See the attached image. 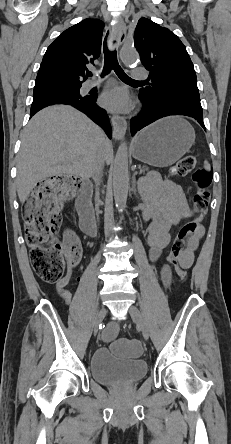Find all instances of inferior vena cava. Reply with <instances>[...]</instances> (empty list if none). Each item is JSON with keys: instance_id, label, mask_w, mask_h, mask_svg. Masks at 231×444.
I'll list each match as a JSON object with an SVG mask.
<instances>
[{"instance_id": "obj_1", "label": "inferior vena cava", "mask_w": 231, "mask_h": 444, "mask_svg": "<svg viewBox=\"0 0 231 444\" xmlns=\"http://www.w3.org/2000/svg\"><path fill=\"white\" fill-rule=\"evenodd\" d=\"M101 138H102L103 143H101L99 145V158H98L97 162L95 163L94 169H93V174L95 175L94 182H95L96 187H98L100 185V181H101V177H102V173H103V167H104V147H105L104 143L108 140L105 133L102 130H101ZM99 179H100V181H99ZM103 193H104L103 189H95V194H97V197H98V194H103ZM102 201L103 200L101 198H94V203H95L94 211L101 210L100 206L103 204ZM101 215L102 214L100 212L96 213L97 217H100ZM98 222L103 223L104 219L99 218ZM99 234L102 236L104 233L101 231Z\"/></svg>"}]
</instances>
